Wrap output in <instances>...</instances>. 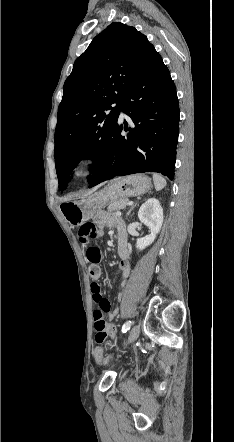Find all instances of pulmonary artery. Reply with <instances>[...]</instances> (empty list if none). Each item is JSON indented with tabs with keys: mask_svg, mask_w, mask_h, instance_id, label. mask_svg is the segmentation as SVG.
<instances>
[{
	"mask_svg": "<svg viewBox=\"0 0 234 442\" xmlns=\"http://www.w3.org/2000/svg\"><path fill=\"white\" fill-rule=\"evenodd\" d=\"M125 116H126V115H125V113L123 112V110L120 109V117L123 118V117H125Z\"/></svg>",
	"mask_w": 234,
	"mask_h": 442,
	"instance_id": "e3ab8cb5",
	"label": "pulmonary artery"
}]
</instances>
